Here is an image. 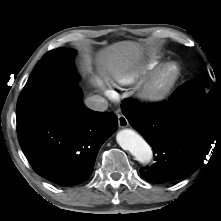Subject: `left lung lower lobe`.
Instances as JSON below:
<instances>
[{
    "instance_id": "obj_1",
    "label": "left lung lower lobe",
    "mask_w": 221,
    "mask_h": 221,
    "mask_svg": "<svg viewBox=\"0 0 221 221\" xmlns=\"http://www.w3.org/2000/svg\"><path fill=\"white\" fill-rule=\"evenodd\" d=\"M199 81H188L177 91H190ZM172 99V98H171ZM167 103L148 106L122 104L129 123L151 145L157 161L140 170L148 182L165 183L193 174L211 144L221 140V112L215 108H178Z\"/></svg>"
}]
</instances>
